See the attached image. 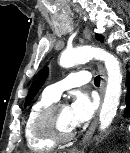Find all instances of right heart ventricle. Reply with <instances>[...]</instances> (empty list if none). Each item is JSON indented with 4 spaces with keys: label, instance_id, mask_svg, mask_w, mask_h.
Listing matches in <instances>:
<instances>
[{
    "label": "right heart ventricle",
    "instance_id": "1",
    "mask_svg": "<svg viewBox=\"0 0 130 153\" xmlns=\"http://www.w3.org/2000/svg\"><path fill=\"white\" fill-rule=\"evenodd\" d=\"M57 100L46 92H43L39 99L32 105L26 117L23 127L24 139L27 146L34 151L48 152L55 148L56 142L39 133L35 128V121L38 114L50 104Z\"/></svg>",
    "mask_w": 130,
    "mask_h": 153
}]
</instances>
